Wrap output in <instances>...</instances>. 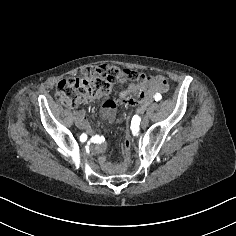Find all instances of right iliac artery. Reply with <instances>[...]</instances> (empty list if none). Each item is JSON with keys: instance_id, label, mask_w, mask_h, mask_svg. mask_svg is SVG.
I'll use <instances>...</instances> for the list:
<instances>
[{"instance_id": "82829eb1", "label": "right iliac artery", "mask_w": 236, "mask_h": 236, "mask_svg": "<svg viewBox=\"0 0 236 236\" xmlns=\"http://www.w3.org/2000/svg\"><path fill=\"white\" fill-rule=\"evenodd\" d=\"M86 140H87V135L83 133V134L80 136V141H81V142H85Z\"/></svg>"}]
</instances>
